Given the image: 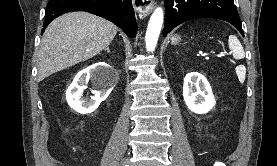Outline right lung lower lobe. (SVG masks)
Listing matches in <instances>:
<instances>
[{"instance_id": "98d812e1", "label": "right lung lower lobe", "mask_w": 277, "mask_h": 166, "mask_svg": "<svg viewBox=\"0 0 277 166\" xmlns=\"http://www.w3.org/2000/svg\"><path fill=\"white\" fill-rule=\"evenodd\" d=\"M75 10L103 17L123 29L129 37L136 36L137 24L131 0H49L43 27L56 17Z\"/></svg>"}]
</instances>
